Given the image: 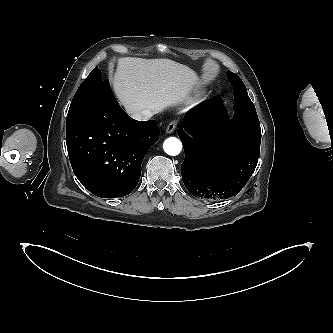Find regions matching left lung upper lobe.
<instances>
[{"label": "left lung upper lobe", "mask_w": 333, "mask_h": 333, "mask_svg": "<svg viewBox=\"0 0 333 333\" xmlns=\"http://www.w3.org/2000/svg\"><path fill=\"white\" fill-rule=\"evenodd\" d=\"M227 77L233 86L235 100L246 102L250 107L254 108L253 103L248 97L246 87L240 77L230 71L227 72Z\"/></svg>", "instance_id": "5c2ea615"}]
</instances>
